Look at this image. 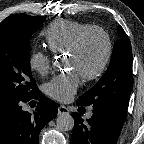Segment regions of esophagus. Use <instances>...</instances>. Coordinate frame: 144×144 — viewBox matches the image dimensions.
I'll return each instance as SVG.
<instances>
[{
    "mask_svg": "<svg viewBox=\"0 0 144 144\" xmlns=\"http://www.w3.org/2000/svg\"><path fill=\"white\" fill-rule=\"evenodd\" d=\"M58 114L59 115L69 114V109L66 106H64V105H60L58 107Z\"/></svg>",
    "mask_w": 144,
    "mask_h": 144,
    "instance_id": "34e87169",
    "label": "esophagus"
}]
</instances>
